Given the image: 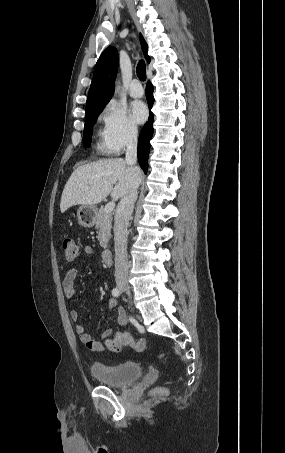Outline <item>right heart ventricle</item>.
<instances>
[{
    "instance_id": "1",
    "label": "right heart ventricle",
    "mask_w": 285,
    "mask_h": 453,
    "mask_svg": "<svg viewBox=\"0 0 285 453\" xmlns=\"http://www.w3.org/2000/svg\"><path fill=\"white\" fill-rule=\"evenodd\" d=\"M99 148H102L103 146L101 144L98 145Z\"/></svg>"
}]
</instances>
